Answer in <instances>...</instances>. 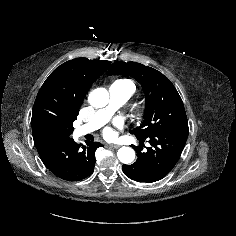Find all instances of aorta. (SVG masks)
I'll use <instances>...</instances> for the list:
<instances>
[{
	"instance_id": "1",
	"label": "aorta",
	"mask_w": 236,
	"mask_h": 236,
	"mask_svg": "<svg viewBox=\"0 0 236 236\" xmlns=\"http://www.w3.org/2000/svg\"><path fill=\"white\" fill-rule=\"evenodd\" d=\"M89 103L96 108L105 107L109 102V93L105 88L94 89L88 97ZM120 162L129 164L135 159V151L131 147H121L117 152Z\"/></svg>"
}]
</instances>
